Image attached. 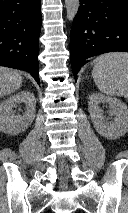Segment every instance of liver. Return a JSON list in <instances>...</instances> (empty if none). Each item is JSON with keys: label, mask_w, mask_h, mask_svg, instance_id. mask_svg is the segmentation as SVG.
<instances>
[{"label": "liver", "mask_w": 128, "mask_h": 213, "mask_svg": "<svg viewBox=\"0 0 128 213\" xmlns=\"http://www.w3.org/2000/svg\"><path fill=\"white\" fill-rule=\"evenodd\" d=\"M22 82L23 77L18 71L0 67V98L15 92Z\"/></svg>", "instance_id": "obj_1"}]
</instances>
